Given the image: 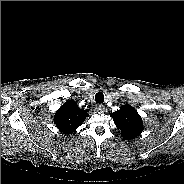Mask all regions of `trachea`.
I'll use <instances>...</instances> for the list:
<instances>
[{
    "instance_id": "3493384b",
    "label": "trachea",
    "mask_w": 184,
    "mask_h": 184,
    "mask_svg": "<svg viewBox=\"0 0 184 184\" xmlns=\"http://www.w3.org/2000/svg\"><path fill=\"white\" fill-rule=\"evenodd\" d=\"M95 101H96V103H103V101H104V94L102 92L96 93Z\"/></svg>"
}]
</instances>
